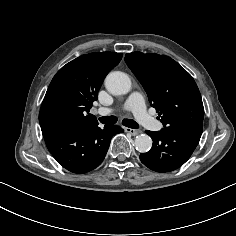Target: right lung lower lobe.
<instances>
[{
  "instance_id": "right-lung-lower-lobe-1",
  "label": "right lung lower lobe",
  "mask_w": 236,
  "mask_h": 236,
  "mask_svg": "<svg viewBox=\"0 0 236 236\" xmlns=\"http://www.w3.org/2000/svg\"><path fill=\"white\" fill-rule=\"evenodd\" d=\"M47 148L58 163L72 173L83 174L98 167L111 138L123 129L98 123L82 126L50 124L41 128Z\"/></svg>"
}]
</instances>
